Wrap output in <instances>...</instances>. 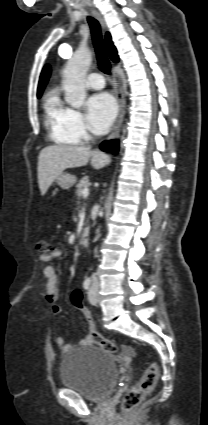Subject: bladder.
Wrapping results in <instances>:
<instances>
[{"label":"bladder","mask_w":208,"mask_h":425,"mask_svg":"<svg viewBox=\"0 0 208 425\" xmlns=\"http://www.w3.org/2000/svg\"><path fill=\"white\" fill-rule=\"evenodd\" d=\"M118 379V367L112 354L99 347L77 348L62 359V384L87 400L100 401L107 397Z\"/></svg>","instance_id":"bladder-1"}]
</instances>
